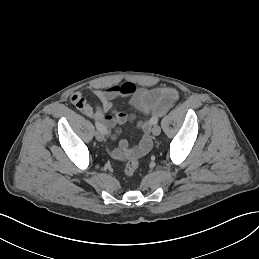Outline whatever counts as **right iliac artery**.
<instances>
[{"label":"right iliac artery","instance_id":"1","mask_svg":"<svg viewBox=\"0 0 259 259\" xmlns=\"http://www.w3.org/2000/svg\"><path fill=\"white\" fill-rule=\"evenodd\" d=\"M96 128L101 131L103 134H107L108 131L107 129L104 127L103 124H101L100 122H95Z\"/></svg>","mask_w":259,"mask_h":259}]
</instances>
